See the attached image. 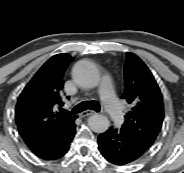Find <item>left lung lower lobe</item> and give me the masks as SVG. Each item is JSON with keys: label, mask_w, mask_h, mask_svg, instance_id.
<instances>
[{"label": "left lung lower lobe", "mask_w": 184, "mask_h": 173, "mask_svg": "<svg viewBox=\"0 0 184 173\" xmlns=\"http://www.w3.org/2000/svg\"><path fill=\"white\" fill-rule=\"evenodd\" d=\"M98 145L103 157L116 165L131 163L147 151L123 130L112 127L99 135Z\"/></svg>", "instance_id": "0a47b994"}]
</instances>
